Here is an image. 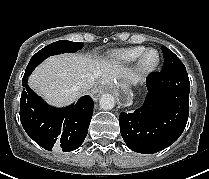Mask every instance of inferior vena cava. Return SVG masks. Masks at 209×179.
<instances>
[{"instance_id": "1", "label": "inferior vena cava", "mask_w": 209, "mask_h": 179, "mask_svg": "<svg viewBox=\"0 0 209 179\" xmlns=\"http://www.w3.org/2000/svg\"><path fill=\"white\" fill-rule=\"evenodd\" d=\"M94 84H95L94 78H86L80 81L77 85L80 90L87 91L91 89L94 86Z\"/></svg>"}]
</instances>
